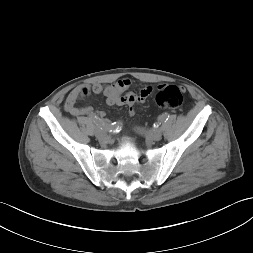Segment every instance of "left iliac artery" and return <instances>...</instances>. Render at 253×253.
I'll return each instance as SVG.
<instances>
[{"label":"left iliac artery","mask_w":253,"mask_h":253,"mask_svg":"<svg viewBox=\"0 0 253 253\" xmlns=\"http://www.w3.org/2000/svg\"><path fill=\"white\" fill-rule=\"evenodd\" d=\"M168 117H169V115H168L167 113H165V114H163V115L161 116L160 119L163 121V120H167Z\"/></svg>","instance_id":"obj_1"}]
</instances>
